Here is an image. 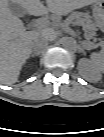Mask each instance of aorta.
Segmentation results:
<instances>
[{
	"instance_id": "obj_1",
	"label": "aorta",
	"mask_w": 104,
	"mask_h": 137,
	"mask_svg": "<svg viewBox=\"0 0 104 137\" xmlns=\"http://www.w3.org/2000/svg\"><path fill=\"white\" fill-rule=\"evenodd\" d=\"M62 47L68 51H73L77 48V41L73 37H64L61 40Z\"/></svg>"
}]
</instances>
